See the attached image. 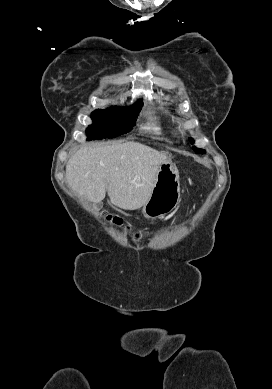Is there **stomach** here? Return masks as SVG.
Masks as SVG:
<instances>
[{
  "instance_id": "1",
  "label": "stomach",
  "mask_w": 272,
  "mask_h": 389,
  "mask_svg": "<svg viewBox=\"0 0 272 389\" xmlns=\"http://www.w3.org/2000/svg\"><path fill=\"white\" fill-rule=\"evenodd\" d=\"M179 200V172L171 160H166L159 167L151 195L143 205L142 213L147 218H161L172 212Z\"/></svg>"
}]
</instances>
